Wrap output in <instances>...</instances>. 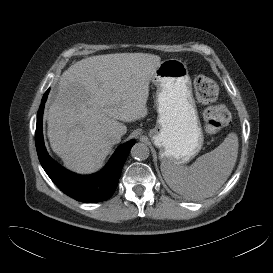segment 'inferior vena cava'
Here are the masks:
<instances>
[{
  "instance_id": "obj_1",
  "label": "inferior vena cava",
  "mask_w": 273,
  "mask_h": 273,
  "mask_svg": "<svg viewBox=\"0 0 273 273\" xmlns=\"http://www.w3.org/2000/svg\"><path fill=\"white\" fill-rule=\"evenodd\" d=\"M109 139L113 144H116L120 142L121 137L119 134L113 133L109 136Z\"/></svg>"
}]
</instances>
